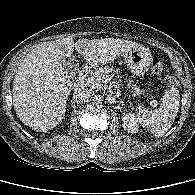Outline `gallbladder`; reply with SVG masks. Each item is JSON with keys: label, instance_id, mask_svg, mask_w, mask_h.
I'll return each mask as SVG.
<instances>
[{"label": "gallbladder", "instance_id": "obj_1", "mask_svg": "<svg viewBox=\"0 0 195 195\" xmlns=\"http://www.w3.org/2000/svg\"><path fill=\"white\" fill-rule=\"evenodd\" d=\"M59 61L69 72H77L79 70V62L73 55L68 58H61Z\"/></svg>", "mask_w": 195, "mask_h": 195}]
</instances>
